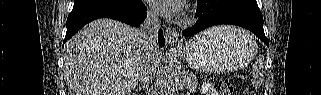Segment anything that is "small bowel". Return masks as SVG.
I'll list each match as a JSON object with an SVG mask.
<instances>
[{"label":"small bowel","instance_id":"1","mask_svg":"<svg viewBox=\"0 0 321 95\" xmlns=\"http://www.w3.org/2000/svg\"><path fill=\"white\" fill-rule=\"evenodd\" d=\"M203 94L204 95H214L215 91L211 87L205 86L203 89Z\"/></svg>","mask_w":321,"mask_h":95}]
</instances>
